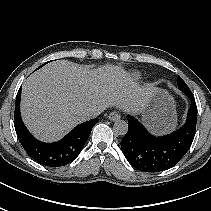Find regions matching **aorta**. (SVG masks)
Masks as SVG:
<instances>
[{
    "label": "aorta",
    "instance_id": "obj_1",
    "mask_svg": "<svg viewBox=\"0 0 211 211\" xmlns=\"http://www.w3.org/2000/svg\"><path fill=\"white\" fill-rule=\"evenodd\" d=\"M113 130L118 135H125L128 132V123L123 120H118L114 123Z\"/></svg>",
    "mask_w": 211,
    "mask_h": 211
}]
</instances>
